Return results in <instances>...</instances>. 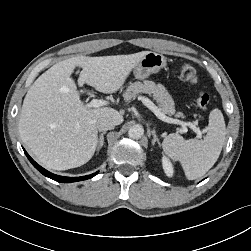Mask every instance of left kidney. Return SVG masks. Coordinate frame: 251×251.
Returning a JSON list of instances; mask_svg holds the SVG:
<instances>
[{
  "label": "left kidney",
  "instance_id": "1",
  "mask_svg": "<svg viewBox=\"0 0 251 251\" xmlns=\"http://www.w3.org/2000/svg\"><path fill=\"white\" fill-rule=\"evenodd\" d=\"M162 166H163L165 174L168 177H172L174 173V169L171 162L165 156L162 158Z\"/></svg>",
  "mask_w": 251,
  "mask_h": 251
}]
</instances>
